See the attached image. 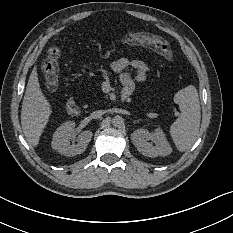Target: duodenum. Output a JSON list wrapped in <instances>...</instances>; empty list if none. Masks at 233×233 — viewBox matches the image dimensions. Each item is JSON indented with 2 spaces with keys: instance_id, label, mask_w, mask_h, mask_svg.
<instances>
[{
  "instance_id": "obj_1",
  "label": "duodenum",
  "mask_w": 233,
  "mask_h": 233,
  "mask_svg": "<svg viewBox=\"0 0 233 233\" xmlns=\"http://www.w3.org/2000/svg\"><path fill=\"white\" fill-rule=\"evenodd\" d=\"M66 110L69 115L71 116H78L80 113V109L74 99L69 98L67 103H66Z\"/></svg>"
}]
</instances>
